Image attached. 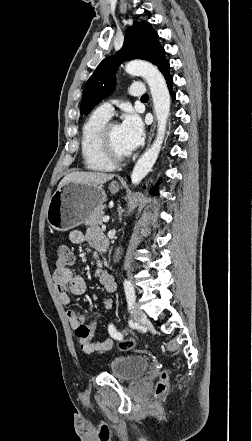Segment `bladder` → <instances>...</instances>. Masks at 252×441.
Instances as JSON below:
<instances>
[{
	"label": "bladder",
	"mask_w": 252,
	"mask_h": 441,
	"mask_svg": "<svg viewBox=\"0 0 252 441\" xmlns=\"http://www.w3.org/2000/svg\"><path fill=\"white\" fill-rule=\"evenodd\" d=\"M149 367L145 356L118 357L110 362L111 373L122 381H133L141 377Z\"/></svg>",
	"instance_id": "31cf9c89"
}]
</instances>
